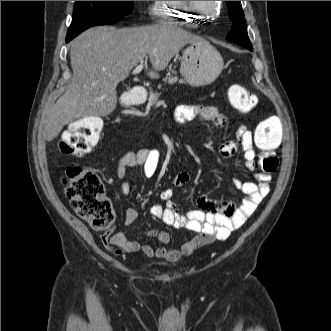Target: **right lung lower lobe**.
Wrapping results in <instances>:
<instances>
[{
	"mask_svg": "<svg viewBox=\"0 0 331 331\" xmlns=\"http://www.w3.org/2000/svg\"><path fill=\"white\" fill-rule=\"evenodd\" d=\"M71 39H69V38H66V42H69Z\"/></svg>",
	"mask_w": 331,
	"mask_h": 331,
	"instance_id": "obj_1",
	"label": "right lung lower lobe"
}]
</instances>
